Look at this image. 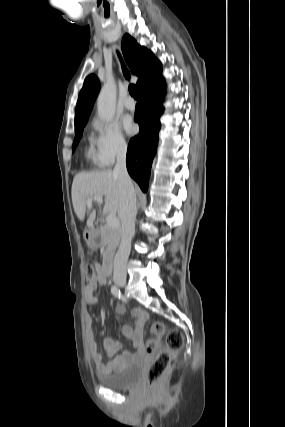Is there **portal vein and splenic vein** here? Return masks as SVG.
I'll list each match as a JSON object with an SVG mask.
<instances>
[{
    "label": "portal vein and splenic vein",
    "instance_id": "obj_1",
    "mask_svg": "<svg viewBox=\"0 0 285 427\" xmlns=\"http://www.w3.org/2000/svg\"><path fill=\"white\" fill-rule=\"evenodd\" d=\"M93 201H96V202H98L100 204L103 203L102 197L93 196V197L88 198V200H87V206L90 207L92 205ZM106 222L111 227H117L119 225V220L116 217V213H108L107 216H106Z\"/></svg>",
    "mask_w": 285,
    "mask_h": 427
}]
</instances>
